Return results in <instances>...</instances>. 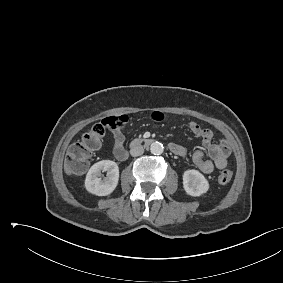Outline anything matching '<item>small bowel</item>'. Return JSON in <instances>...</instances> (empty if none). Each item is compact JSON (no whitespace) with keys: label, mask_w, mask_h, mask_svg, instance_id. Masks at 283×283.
Returning <instances> with one entry per match:
<instances>
[{"label":"small bowel","mask_w":283,"mask_h":283,"mask_svg":"<svg viewBox=\"0 0 283 283\" xmlns=\"http://www.w3.org/2000/svg\"><path fill=\"white\" fill-rule=\"evenodd\" d=\"M152 119L157 122L162 121L163 114L159 111H155L152 113ZM127 122L128 117L126 115L110 116L102 121L113 135V153L119 160H124L127 157L123 134V128ZM189 128L195 137L201 140L208 155V158H205L202 150H196L192 155V160L196 167L206 174L213 172L215 168L224 169L227 166V160L231 154L230 144L226 140L213 143V132L209 128L202 127L195 121L189 123ZM170 150L172 153L182 158H185L187 155V150L178 143H171Z\"/></svg>","instance_id":"small-bowel-1"}]
</instances>
